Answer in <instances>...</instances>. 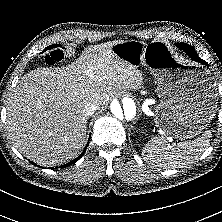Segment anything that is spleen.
Masks as SVG:
<instances>
[{
    "label": "spleen",
    "mask_w": 222,
    "mask_h": 222,
    "mask_svg": "<svg viewBox=\"0 0 222 222\" xmlns=\"http://www.w3.org/2000/svg\"><path fill=\"white\" fill-rule=\"evenodd\" d=\"M210 132L195 140L179 142L175 147L162 137L150 140L142 150L145 160L163 168L183 167L194 163L209 146Z\"/></svg>",
    "instance_id": "1"
}]
</instances>
